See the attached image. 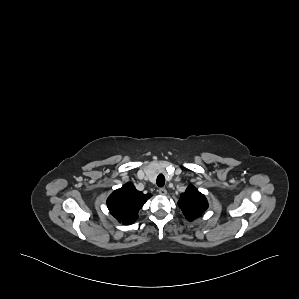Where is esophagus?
I'll use <instances>...</instances> for the list:
<instances>
[{
  "mask_svg": "<svg viewBox=\"0 0 299 299\" xmlns=\"http://www.w3.org/2000/svg\"><path fill=\"white\" fill-rule=\"evenodd\" d=\"M160 195H166L167 194V190L165 188H159L158 190Z\"/></svg>",
  "mask_w": 299,
  "mask_h": 299,
  "instance_id": "1",
  "label": "esophagus"
}]
</instances>
